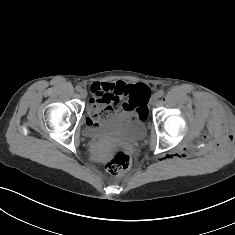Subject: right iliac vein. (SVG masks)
I'll use <instances>...</instances> for the list:
<instances>
[{"mask_svg": "<svg viewBox=\"0 0 235 235\" xmlns=\"http://www.w3.org/2000/svg\"><path fill=\"white\" fill-rule=\"evenodd\" d=\"M80 95H81L82 98H86L87 97V91L85 89H82L80 91Z\"/></svg>", "mask_w": 235, "mask_h": 235, "instance_id": "right-iliac-vein-1", "label": "right iliac vein"}]
</instances>
